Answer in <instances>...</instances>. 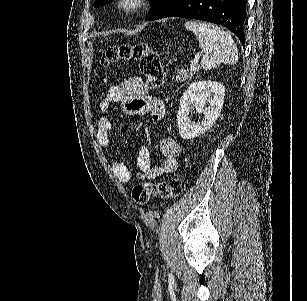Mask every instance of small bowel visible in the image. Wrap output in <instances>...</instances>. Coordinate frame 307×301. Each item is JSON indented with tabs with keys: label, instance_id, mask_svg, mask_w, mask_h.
Returning <instances> with one entry per match:
<instances>
[{
	"label": "small bowel",
	"instance_id": "small-bowel-1",
	"mask_svg": "<svg viewBox=\"0 0 307 301\" xmlns=\"http://www.w3.org/2000/svg\"><path fill=\"white\" fill-rule=\"evenodd\" d=\"M119 103L123 111L131 115L150 114L154 121L163 118L165 109L163 102L152 96L146 85L138 77L126 80L120 85L111 86L107 96L100 102L99 108L107 112L111 105ZM113 127L109 117L102 116L98 120L96 139L105 149L110 145V131ZM163 161L156 166L151 165L150 155L146 147H142L136 156L138 173L132 176L125 164L116 160L112 153L108 156L112 159V171L115 178L121 183L130 181L140 182L144 180H155L177 170V156L179 146L171 138H165L160 143Z\"/></svg>",
	"mask_w": 307,
	"mask_h": 301
}]
</instances>
